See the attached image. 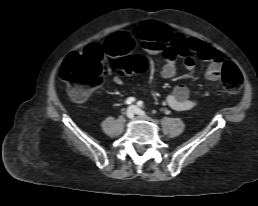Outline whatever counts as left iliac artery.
I'll return each instance as SVG.
<instances>
[{
	"instance_id": "left-iliac-artery-1",
	"label": "left iliac artery",
	"mask_w": 258,
	"mask_h": 206,
	"mask_svg": "<svg viewBox=\"0 0 258 206\" xmlns=\"http://www.w3.org/2000/svg\"><path fill=\"white\" fill-rule=\"evenodd\" d=\"M137 104H138V106H140V107L144 108V104H143V102H142V101H139Z\"/></svg>"
}]
</instances>
